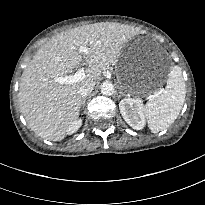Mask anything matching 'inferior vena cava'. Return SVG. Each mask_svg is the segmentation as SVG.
Instances as JSON below:
<instances>
[{"mask_svg":"<svg viewBox=\"0 0 205 205\" xmlns=\"http://www.w3.org/2000/svg\"><path fill=\"white\" fill-rule=\"evenodd\" d=\"M95 86V82L91 81V82H87L85 84L82 85V87L79 90V93L81 95V97H86L89 93L92 92V90L94 89Z\"/></svg>","mask_w":205,"mask_h":205,"instance_id":"1","label":"inferior vena cava"}]
</instances>
